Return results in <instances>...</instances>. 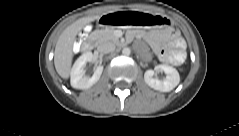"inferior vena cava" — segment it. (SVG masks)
<instances>
[{"mask_svg":"<svg viewBox=\"0 0 239 136\" xmlns=\"http://www.w3.org/2000/svg\"><path fill=\"white\" fill-rule=\"evenodd\" d=\"M115 48H116L115 44L111 42H103L98 46L97 50L100 53H110V52H113Z\"/></svg>","mask_w":239,"mask_h":136,"instance_id":"602c4592","label":"inferior vena cava"}]
</instances>
